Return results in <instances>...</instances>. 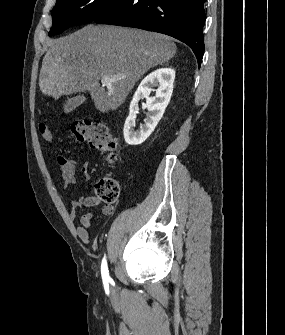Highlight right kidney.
Listing matches in <instances>:
<instances>
[{"mask_svg":"<svg viewBox=\"0 0 285 335\" xmlns=\"http://www.w3.org/2000/svg\"><path fill=\"white\" fill-rule=\"evenodd\" d=\"M175 80V72L172 68H160L151 72L149 76H146L142 80L138 90H136L133 100L130 104L129 116L124 124V138L127 144L130 146H138L145 142L149 138L150 134L154 132L158 122H160L165 108H167L170 98L173 92V82ZM153 86H158L156 96L150 98L151 92H153ZM146 98V108L149 110L145 124H142L140 130H133L136 120V106H138L139 100Z\"/></svg>","mask_w":285,"mask_h":335,"instance_id":"obj_1","label":"right kidney"}]
</instances>
